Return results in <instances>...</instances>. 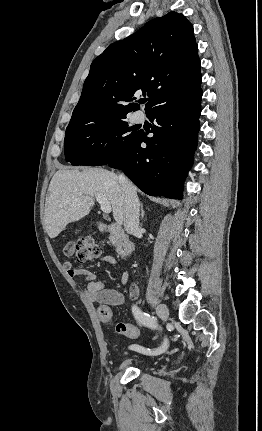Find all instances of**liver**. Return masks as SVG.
Returning <instances> with one entry per match:
<instances>
[{"instance_id": "1", "label": "liver", "mask_w": 262, "mask_h": 431, "mask_svg": "<svg viewBox=\"0 0 262 431\" xmlns=\"http://www.w3.org/2000/svg\"><path fill=\"white\" fill-rule=\"evenodd\" d=\"M132 187L137 195V188ZM48 191L44 222L50 238L57 237L67 224L88 215L97 194L111 203L116 222L123 223L125 193L114 172L88 167L82 171L60 169L54 174Z\"/></svg>"}]
</instances>
